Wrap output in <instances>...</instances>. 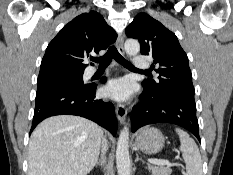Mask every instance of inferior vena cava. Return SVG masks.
Listing matches in <instances>:
<instances>
[{
	"mask_svg": "<svg viewBox=\"0 0 233 175\" xmlns=\"http://www.w3.org/2000/svg\"><path fill=\"white\" fill-rule=\"evenodd\" d=\"M101 151H102V156H104L105 152L107 151V143H106L105 139H103V141H102Z\"/></svg>",
	"mask_w": 233,
	"mask_h": 175,
	"instance_id": "inferior-vena-cava-1",
	"label": "inferior vena cava"
}]
</instances>
